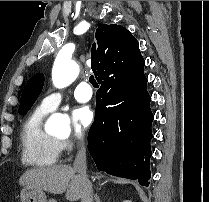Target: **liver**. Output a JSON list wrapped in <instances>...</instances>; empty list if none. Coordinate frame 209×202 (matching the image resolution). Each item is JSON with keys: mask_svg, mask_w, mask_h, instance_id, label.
<instances>
[{"mask_svg": "<svg viewBox=\"0 0 209 202\" xmlns=\"http://www.w3.org/2000/svg\"><path fill=\"white\" fill-rule=\"evenodd\" d=\"M19 184L53 194L66 192L67 200L77 201L81 198L84 179L70 165H57L29 169L20 177Z\"/></svg>", "mask_w": 209, "mask_h": 202, "instance_id": "6515ba94", "label": "liver"}]
</instances>
